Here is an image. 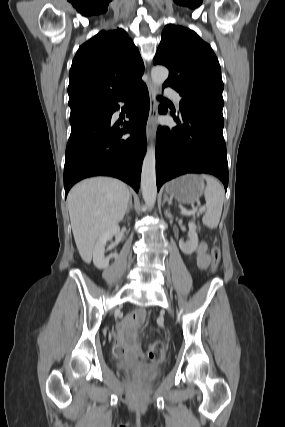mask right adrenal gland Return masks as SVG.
<instances>
[{
	"instance_id": "2a0ac1e0",
	"label": "right adrenal gland",
	"mask_w": 285,
	"mask_h": 427,
	"mask_svg": "<svg viewBox=\"0 0 285 427\" xmlns=\"http://www.w3.org/2000/svg\"><path fill=\"white\" fill-rule=\"evenodd\" d=\"M131 208H132V196L130 195L128 206H127V209H126V214L129 213V211H130Z\"/></svg>"
}]
</instances>
